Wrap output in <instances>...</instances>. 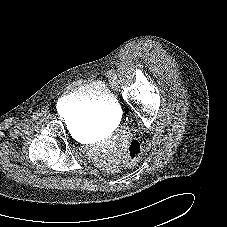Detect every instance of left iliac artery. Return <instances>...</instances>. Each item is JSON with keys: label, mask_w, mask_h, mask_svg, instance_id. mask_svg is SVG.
I'll return each instance as SVG.
<instances>
[{"label": "left iliac artery", "mask_w": 227, "mask_h": 227, "mask_svg": "<svg viewBox=\"0 0 227 227\" xmlns=\"http://www.w3.org/2000/svg\"><path fill=\"white\" fill-rule=\"evenodd\" d=\"M110 77H111L112 79H114V80L117 79V75H116L115 73H111V74H110Z\"/></svg>", "instance_id": "obj_1"}]
</instances>
